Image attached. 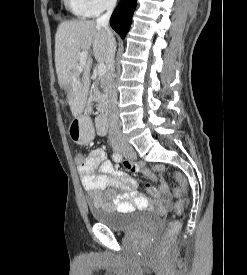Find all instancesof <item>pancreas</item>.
Here are the masks:
<instances>
[{"label": "pancreas", "instance_id": "1", "mask_svg": "<svg viewBox=\"0 0 247 275\" xmlns=\"http://www.w3.org/2000/svg\"><path fill=\"white\" fill-rule=\"evenodd\" d=\"M101 88H103V92L98 89L96 86L94 88V94L92 96V101L97 103V110L99 113H104L107 110L108 107V97L104 89V83L101 80Z\"/></svg>", "mask_w": 247, "mask_h": 275}]
</instances>
